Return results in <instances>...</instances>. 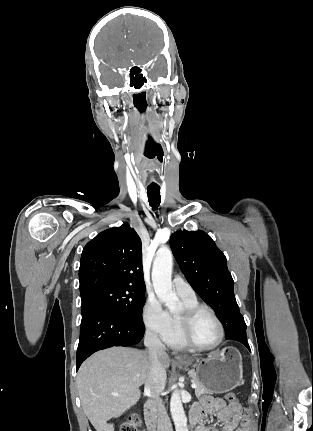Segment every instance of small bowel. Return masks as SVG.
I'll use <instances>...</instances> for the list:
<instances>
[{
  "label": "small bowel",
  "mask_w": 313,
  "mask_h": 431,
  "mask_svg": "<svg viewBox=\"0 0 313 431\" xmlns=\"http://www.w3.org/2000/svg\"><path fill=\"white\" fill-rule=\"evenodd\" d=\"M191 413L198 417L199 424L205 417L215 416L221 425L219 430L199 425L196 431H251L248 412L238 402L227 405L223 399L205 396Z\"/></svg>",
  "instance_id": "obj_1"
}]
</instances>
